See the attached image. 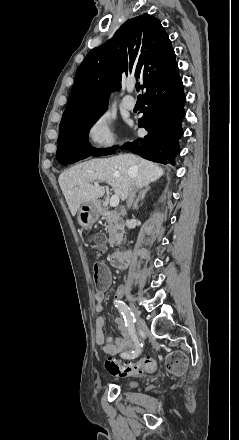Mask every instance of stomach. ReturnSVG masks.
I'll return each instance as SVG.
<instances>
[{"instance_id": "stomach-1", "label": "stomach", "mask_w": 239, "mask_h": 440, "mask_svg": "<svg viewBox=\"0 0 239 440\" xmlns=\"http://www.w3.org/2000/svg\"><path fill=\"white\" fill-rule=\"evenodd\" d=\"M102 212L99 200H91V202H84L78 210V224L85 230H91L93 224L98 220Z\"/></svg>"}]
</instances>
